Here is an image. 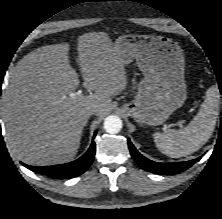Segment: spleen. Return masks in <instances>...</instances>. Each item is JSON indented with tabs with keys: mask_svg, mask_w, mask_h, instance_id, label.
Returning a JSON list of instances; mask_svg holds the SVG:
<instances>
[{
	"mask_svg": "<svg viewBox=\"0 0 222 219\" xmlns=\"http://www.w3.org/2000/svg\"><path fill=\"white\" fill-rule=\"evenodd\" d=\"M219 115V93L215 86L206 92V99L193 120L184 128L156 132L157 148L171 158H179L199 150L211 137Z\"/></svg>",
	"mask_w": 222,
	"mask_h": 219,
	"instance_id": "spleen-1",
	"label": "spleen"
}]
</instances>
